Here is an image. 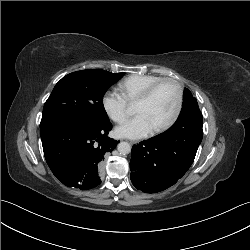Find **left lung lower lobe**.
Returning <instances> with one entry per match:
<instances>
[{"label": "left lung lower lobe", "mask_w": 250, "mask_h": 250, "mask_svg": "<svg viewBox=\"0 0 250 250\" xmlns=\"http://www.w3.org/2000/svg\"><path fill=\"white\" fill-rule=\"evenodd\" d=\"M202 140V119L180 117L166 132L132 147L131 181L146 193L174 185L189 169Z\"/></svg>", "instance_id": "1"}]
</instances>
